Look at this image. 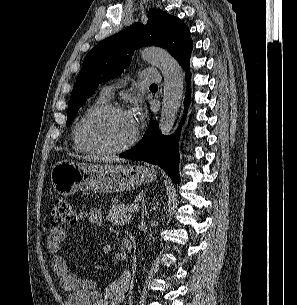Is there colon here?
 <instances>
[{
	"mask_svg": "<svg viewBox=\"0 0 297 305\" xmlns=\"http://www.w3.org/2000/svg\"><path fill=\"white\" fill-rule=\"evenodd\" d=\"M76 211L74 206L65 198H58L50 214L51 223L60 227L66 224H72L76 221Z\"/></svg>",
	"mask_w": 297,
	"mask_h": 305,
	"instance_id": "colon-1",
	"label": "colon"
}]
</instances>
